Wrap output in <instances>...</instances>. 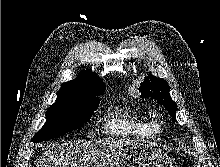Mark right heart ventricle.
I'll return each mask as SVG.
<instances>
[{
	"instance_id": "obj_1",
	"label": "right heart ventricle",
	"mask_w": 220,
	"mask_h": 167,
	"mask_svg": "<svg viewBox=\"0 0 220 167\" xmlns=\"http://www.w3.org/2000/svg\"><path fill=\"white\" fill-rule=\"evenodd\" d=\"M155 121L136 112L130 105L122 104L110 111L104 118V133L111 137L133 140L155 138Z\"/></svg>"
}]
</instances>
